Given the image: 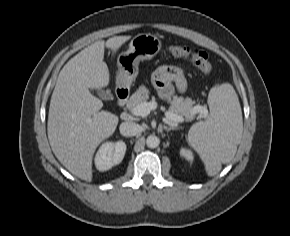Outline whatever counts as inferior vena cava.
<instances>
[{
    "label": "inferior vena cava",
    "instance_id": "obj_1",
    "mask_svg": "<svg viewBox=\"0 0 290 236\" xmlns=\"http://www.w3.org/2000/svg\"><path fill=\"white\" fill-rule=\"evenodd\" d=\"M120 133L123 136H135L139 132V126L133 122H122L119 127Z\"/></svg>",
    "mask_w": 290,
    "mask_h": 236
}]
</instances>
